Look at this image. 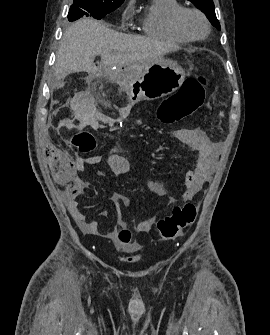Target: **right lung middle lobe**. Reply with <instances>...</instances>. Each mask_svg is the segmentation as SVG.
Listing matches in <instances>:
<instances>
[{
	"instance_id": "obj_1",
	"label": "right lung middle lobe",
	"mask_w": 270,
	"mask_h": 335,
	"mask_svg": "<svg viewBox=\"0 0 270 335\" xmlns=\"http://www.w3.org/2000/svg\"><path fill=\"white\" fill-rule=\"evenodd\" d=\"M68 13V20L75 21L81 17L101 19L117 9L122 3L107 2L104 0H73Z\"/></svg>"
}]
</instances>
